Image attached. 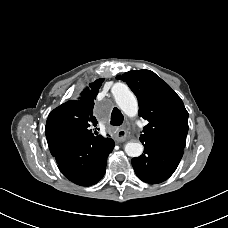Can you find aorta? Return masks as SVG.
<instances>
[{
	"mask_svg": "<svg viewBox=\"0 0 228 228\" xmlns=\"http://www.w3.org/2000/svg\"><path fill=\"white\" fill-rule=\"evenodd\" d=\"M113 95L119 108L129 117L138 114V103L135 95L127 85L117 83L113 87ZM125 152L130 157H139L143 153V145L140 142H128Z\"/></svg>",
	"mask_w": 228,
	"mask_h": 228,
	"instance_id": "1",
	"label": "aorta"
}]
</instances>
